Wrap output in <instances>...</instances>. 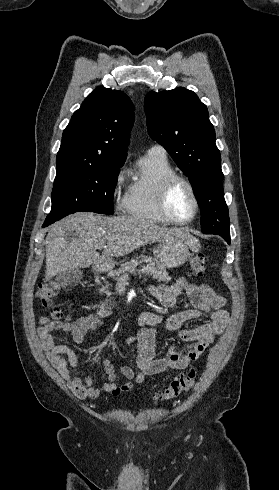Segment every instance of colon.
<instances>
[{
  "mask_svg": "<svg viewBox=\"0 0 279 490\" xmlns=\"http://www.w3.org/2000/svg\"><path fill=\"white\" fill-rule=\"evenodd\" d=\"M191 270L197 276H203L207 270V257L203 252L195 253L190 259ZM61 289V284L58 282H50L40 290V298L43 303L50 306L54 297ZM52 318L59 320L64 316V312L60 308H52L50 310ZM196 371L191 369L184 376L174 379L168 387L162 390L156 397L161 401H169L176 399L182 394L190 391L196 383Z\"/></svg>",
  "mask_w": 279,
  "mask_h": 490,
  "instance_id": "1",
  "label": "colon"
}]
</instances>
